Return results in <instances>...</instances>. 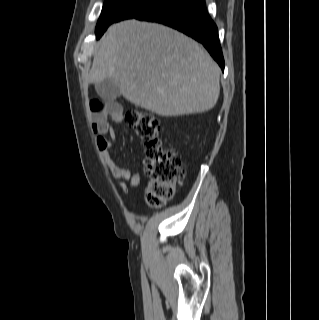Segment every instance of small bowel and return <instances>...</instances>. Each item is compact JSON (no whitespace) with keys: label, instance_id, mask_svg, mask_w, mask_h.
<instances>
[{"label":"small bowel","instance_id":"1","mask_svg":"<svg viewBox=\"0 0 319 320\" xmlns=\"http://www.w3.org/2000/svg\"><path fill=\"white\" fill-rule=\"evenodd\" d=\"M90 108L94 114L92 128L95 133L96 147L100 151L106 167L114 177L120 180L119 187L121 190H125V183H128L131 187H137L141 182L140 174L118 165L110 155V149L116 139V132L110 125L109 120L116 123L122 122L121 106L115 102H107L103 105L99 101L93 100Z\"/></svg>","mask_w":319,"mask_h":320}]
</instances>
